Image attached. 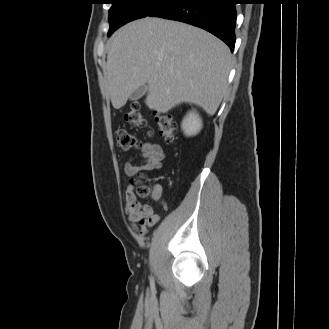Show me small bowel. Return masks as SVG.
I'll return each mask as SVG.
<instances>
[{"label": "small bowel", "instance_id": "obj_1", "mask_svg": "<svg viewBox=\"0 0 329 329\" xmlns=\"http://www.w3.org/2000/svg\"><path fill=\"white\" fill-rule=\"evenodd\" d=\"M141 162L135 164L128 160L124 165V172L127 176H134L140 172L154 171L162 168L165 161V153L158 144L144 143L140 152ZM154 192L160 198L162 195L161 185L153 187ZM125 213L130 225L141 234H146L148 228L159 222V216L153 213L148 205H143L137 198L130 186L125 192Z\"/></svg>", "mask_w": 329, "mask_h": 329}]
</instances>
